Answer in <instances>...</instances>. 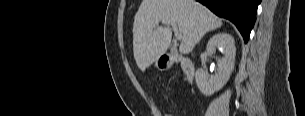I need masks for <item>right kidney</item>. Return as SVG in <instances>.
I'll list each match as a JSON object with an SVG mask.
<instances>
[{
    "label": "right kidney",
    "mask_w": 305,
    "mask_h": 116,
    "mask_svg": "<svg viewBox=\"0 0 305 116\" xmlns=\"http://www.w3.org/2000/svg\"><path fill=\"white\" fill-rule=\"evenodd\" d=\"M216 48L223 53V58L217 61V73L209 77L204 69H198L195 74L196 84L206 96L220 90L228 82L234 70L236 55L234 38L228 33L215 34L208 41L206 51L208 54H213Z\"/></svg>",
    "instance_id": "right-kidney-1"
}]
</instances>
